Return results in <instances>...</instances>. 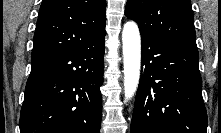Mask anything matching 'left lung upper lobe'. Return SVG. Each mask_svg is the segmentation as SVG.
I'll use <instances>...</instances> for the list:
<instances>
[{
  "label": "left lung upper lobe",
  "mask_w": 221,
  "mask_h": 133,
  "mask_svg": "<svg viewBox=\"0 0 221 133\" xmlns=\"http://www.w3.org/2000/svg\"><path fill=\"white\" fill-rule=\"evenodd\" d=\"M125 15L137 22L141 36L197 48L190 0H128Z\"/></svg>",
  "instance_id": "left-lung-upper-lobe-1"
}]
</instances>
